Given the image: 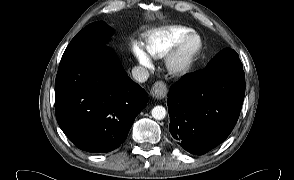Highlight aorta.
Instances as JSON below:
<instances>
[{"instance_id": "obj_1", "label": "aorta", "mask_w": 294, "mask_h": 180, "mask_svg": "<svg viewBox=\"0 0 294 180\" xmlns=\"http://www.w3.org/2000/svg\"><path fill=\"white\" fill-rule=\"evenodd\" d=\"M152 117L156 120H162L166 116V109L163 106H155L151 111Z\"/></svg>"}]
</instances>
